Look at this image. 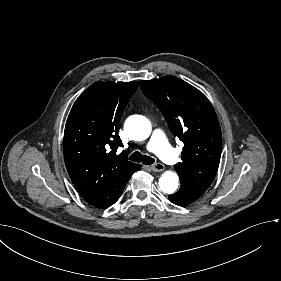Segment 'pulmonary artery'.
<instances>
[{"mask_svg": "<svg viewBox=\"0 0 281 281\" xmlns=\"http://www.w3.org/2000/svg\"><path fill=\"white\" fill-rule=\"evenodd\" d=\"M151 141L158 149V156L168 165H175L178 162V154L165 142L161 131H154L151 134Z\"/></svg>", "mask_w": 281, "mask_h": 281, "instance_id": "e3ab8cb5", "label": "pulmonary artery"}]
</instances>
